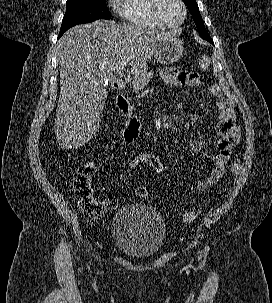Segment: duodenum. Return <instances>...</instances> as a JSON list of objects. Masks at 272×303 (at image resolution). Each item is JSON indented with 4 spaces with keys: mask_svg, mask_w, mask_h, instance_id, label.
Listing matches in <instances>:
<instances>
[{
    "mask_svg": "<svg viewBox=\"0 0 272 303\" xmlns=\"http://www.w3.org/2000/svg\"><path fill=\"white\" fill-rule=\"evenodd\" d=\"M126 86V78L125 77H118L114 81V88L119 91L116 102L119 110L126 115L127 123L126 126L119 132V137L122 141H126L129 136L135 131L138 130L139 121L135 116L131 115L130 106L126 99V97L121 93V91Z\"/></svg>",
    "mask_w": 272,
    "mask_h": 303,
    "instance_id": "410a0bca",
    "label": "duodenum"
}]
</instances>
